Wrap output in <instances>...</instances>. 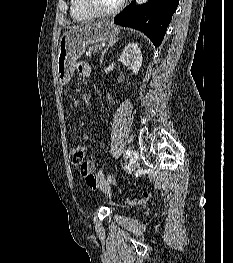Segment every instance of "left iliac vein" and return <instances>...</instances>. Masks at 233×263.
<instances>
[{
	"instance_id": "4c4485c4",
	"label": "left iliac vein",
	"mask_w": 233,
	"mask_h": 263,
	"mask_svg": "<svg viewBox=\"0 0 233 263\" xmlns=\"http://www.w3.org/2000/svg\"><path fill=\"white\" fill-rule=\"evenodd\" d=\"M132 169H136L139 164V155L137 151H133L131 155Z\"/></svg>"
}]
</instances>
